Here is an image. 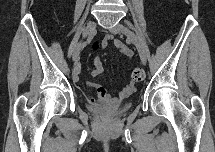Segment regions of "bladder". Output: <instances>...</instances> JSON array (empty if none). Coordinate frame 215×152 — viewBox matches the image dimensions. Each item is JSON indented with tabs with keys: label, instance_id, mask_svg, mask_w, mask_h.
<instances>
[{
	"label": "bladder",
	"instance_id": "1",
	"mask_svg": "<svg viewBox=\"0 0 215 152\" xmlns=\"http://www.w3.org/2000/svg\"><path fill=\"white\" fill-rule=\"evenodd\" d=\"M129 108H130V103H124L117 108V113H123L127 111ZM92 109H95V107H92Z\"/></svg>",
	"mask_w": 215,
	"mask_h": 152
}]
</instances>
